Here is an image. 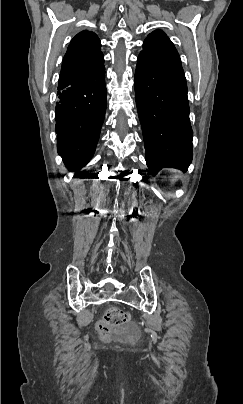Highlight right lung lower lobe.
Instances as JSON below:
<instances>
[{"mask_svg": "<svg viewBox=\"0 0 243 404\" xmlns=\"http://www.w3.org/2000/svg\"><path fill=\"white\" fill-rule=\"evenodd\" d=\"M56 133L58 154L66 167L79 171L92 158L106 110L105 67L71 82L57 92ZM75 177H85L75 174Z\"/></svg>", "mask_w": 243, "mask_h": 404, "instance_id": "1", "label": "right lung lower lobe"}]
</instances>
